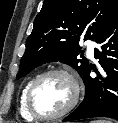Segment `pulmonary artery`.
I'll use <instances>...</instances> for the list:
<instances>
[{"label": "pulmonary artery", "mask_w": 118, "mask_h": 123, "mask_svg": "<svg viewBox=\"0 0 118 123\" xmlns=\"http://www.w3.org/2000/svg\"><path fill=\"white\" fill-rule=\"evenodd\" d=\"M87 45V53L89 57H93L94 56V50L96 47V43L93 40H87L86 42Z\"/></svg>", "instance_id": "pulmonary-artery-1"}]
</instances>
